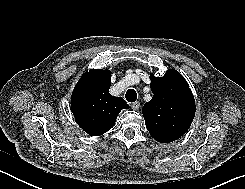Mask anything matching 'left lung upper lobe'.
<instances>
[{
	"mask_svg": "<svg viewBox=\"0 0 245 189\" xmlns=\"http://www.w3.org/2000/svg\"><path fill=\"white\" fill-rule=\"evenodd\" d=\"M152 99L142 108L150 135L168 143L180 138L189 129L195 115V100L187 81L175 69L164 76L150 75Z\"/></svg>",
	"mask_w": 245,
	"mask_h": 189,
	"instance_id": "left-lung-upper-lobe-1",
	"label": "left lung upper lobe"
}]
</instances>
